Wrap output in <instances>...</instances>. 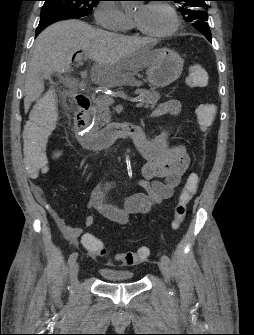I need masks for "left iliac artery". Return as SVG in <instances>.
Segmentation results:
<instances>
[{
	"label": "left iliac artery",
	"instance_id": "44dca946",
	"mask_svg": "<svg viewBox=\"0 0 254 335\" xmlns=\"http://www.w3.org/2000/svg\"><path fill=\"white\" fill-rule=\"evenodd\" d=\"M161 260L164 261L167 264L170 263V259H169V257L167 255H162L161 256Z\"/></svg>",
	"mask_w": 254,
	"mask_h": 335
}]
</instances>
